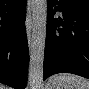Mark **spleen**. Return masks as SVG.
I'll use <instances>...</instances> for the list:
<instances>
[{
	"label": "spleen",
	"mask_w": 89,
	"mask_h": 89,
	"mask_svg": "<svg viewBox=\"0 0 89 89\" xmlns=\"http://www.w3.org/2000/svg\"><path fill=\"white\" fill-rule=\"evenodd\" d=\"M57 89H89V81L74 74H57L48 83Z\"/></svg>",
	"instance_id": "spleen-1"
}]
</instances>
